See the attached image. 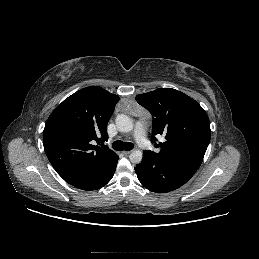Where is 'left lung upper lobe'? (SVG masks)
Wrapping results in <instances>:
<instances>
[{
    "mask_svg": "<svg viewBox=\"0 0 259 259\" xmlns=\"http://www.w3.org/2000/svg\"><path fill=\"white\" fill-rule=\"evenodd\" d=\"M136 100L154 116L153 142L157 134L166 139L156 145L159 153L146 152L197 170L211 136L209 118L199 103L171 88L137 95Z\"/></svg>",
    "mask_w": 259,
    "mask_h": 259,
    "instance_id": "obj_1",
    "label": "left lung upper lobe"
}]
</instances>
